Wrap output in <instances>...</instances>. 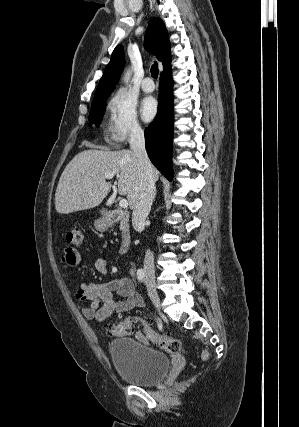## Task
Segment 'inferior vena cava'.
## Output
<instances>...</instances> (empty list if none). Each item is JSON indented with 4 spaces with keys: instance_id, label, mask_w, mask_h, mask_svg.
Returning <instances> with one entry per match:
<instances>
[{
    "instance_id": "inferior-vena-cava-1",
    "label": "inferior vena cava",
    "mask_w": 299,
    "mask_h": 427,
    "mask_svg": "<svg viewBox=\"0 0 299 427\" xmlns=\"http://www.w3.org/2000/svg\"><path fill=\"white\" fill-rule=\"evenodd\" d=\"M130 148L137 158L139 174V192L132 213V225L136 231L145 226V220L151 210L155 192V180L152 164L145 149V137L143 130L133 127L130 135ZM144 272L146 275H154V256L150 250L146 251L144 258Z\"/></svg>"
}]
</instances>
